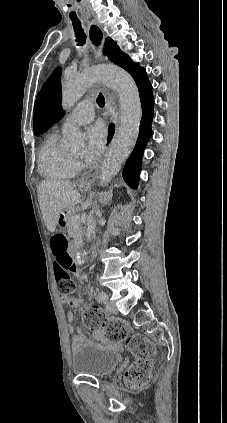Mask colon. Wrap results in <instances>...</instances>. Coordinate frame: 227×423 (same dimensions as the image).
<instances>
[{
  "label": "colon",
  "instance_id": "1",
  "mask_svg": "<svg viewBox=\"0 0 227 423\" xmlns=\"http://www.w3.org/2000/svg\"><path fill=\"white\" fill-rule=\"evenodd\" d=\"M51 249L55 257L54 272L62 296H70L75 289L73 273L75 261L69 251V242L62 233H57L51 238ZM83 323L90 329L107 332L113 339L126 338V348L136 361L126 373L128 383L133 387L145 384L150 378V364L153 357L152 344L141 335L127 337V326L118 321L108 320L97 307L87 308L82 316Z\"/></svg>",
  "mask_w": 227,
  "mask_h": 423
}]
</instances>
